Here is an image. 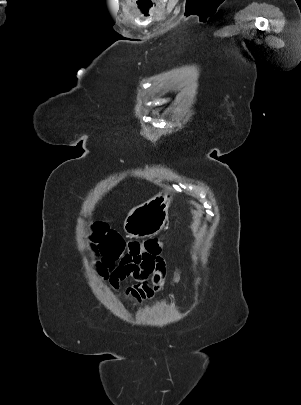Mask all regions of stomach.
<instances>
[{"label": "stomach", "instance_id": "0dacf381", "mask_svg": "<svg viewBox=\"0 0 301 405\" xmlns=\"http://www.w3.org/2000/svg\"><path fill=\"white\" fill-rule=\"evenodd\" d=\"M170 200L168 194L160 193L133 209L124 223L128 236L145 238L155 235L165 223Z\"/></svg>", "mask_w": 301, "mask_h": 405}]
</instances>
